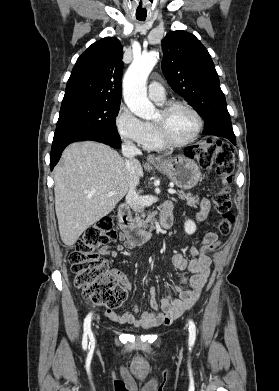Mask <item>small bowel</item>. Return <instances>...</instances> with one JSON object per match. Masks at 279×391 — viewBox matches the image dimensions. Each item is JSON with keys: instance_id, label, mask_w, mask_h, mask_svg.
I'll list each match as a JSON object with an SVG mask.
<instances>
[{"instance_id": "1", "label": "small bowel", "mask_w": 279, "mask_h": 391, "mask_svg": "<svg viewBox=\"0 0 279 391\" xmlns=\"http://www.w3.org/2000/svg\"><path fill=\"white\" fill-rule=\"evenodd\" d=\"M209 211L210 202L204 198L201 201L200 211L197 213L196 219L199 221L204 220ZM216 240L217 234L208 232L203 239V246L201 248L191 247L190 253L192 258L189 261L182 254H175L173 256V265L179 270L188 269L191 277L190 279L182 277L181 282L172 290H168L159 302L156 299V289L152 287L150 289V304L154 309H157L156 312H144L140 317H137L139 310L137 305H135L133 312L117 313L114 310H106L105 315L107 318L118 324H130L143 329L172 323L199 300L209 277L211 266V261L206 254L205 247ZM132 247L134 246L127 244L125 236L121 235L120 244L115 246L105 245L100 248V253L116 258L125 249ZM114 275L119 279L126 291L131 289V284L124 274L115 271Z\"/></svg>"}]
</instances>
